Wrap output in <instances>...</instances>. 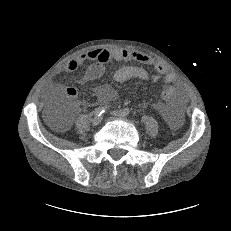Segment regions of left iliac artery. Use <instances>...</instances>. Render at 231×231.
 <instances>
[{
    "label": "left iliac artery",
    "mask_w": 231,
    "mask_h": 231,
    "mask_svg": "<svg viewBox=\"0 0 231 231\" xmlns=\"http://www.w3.org/2000/svg\"><path fill=\"white\" fill-rule=\"evenodd\" d=\"M122 113L124 116H127V115H129L130 110L128 108H125V109H123Z\"/></svg>",
    "instance_id": "obj_1"
}]
</instances>
